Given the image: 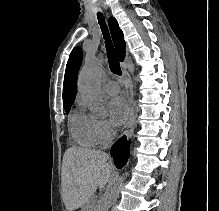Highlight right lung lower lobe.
<instances>
[{
  "label": "right lung lower lobe",
  "instance_id": "1",
  "mask_svg": "<svg viewBox=\"0 0 219 211\" xmlns=\"http://www.w3.org/2000/svg\"><path fill=\"white\" fill-rule=\"evenodd\" d=\"M130 142L126 140V136L121 137L111 148V156L114 159L117 168H122L129 157Z\"/></svg>",
  "mask_w": 219,
  "mask_h": 211
}]
</instances>
